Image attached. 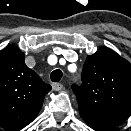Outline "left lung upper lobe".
I'll use <instances>...</instances> for the list:
<instances>
[{
    "label": "left lung upper lobe",
    "instance_id": "1",
    "mask_svg": "<svg viewBox=\"0 0 131 131\" xmlns=\"http://www.w3.org/2000/svg\"><path fill=\"white\" fill-rule=\"evenodd\" d=\"M81 86L72 85L80 116L96 131H111L131 114V64L106 46L87 56Z\"/></svg>",
    "mask_w": 131,
    "mask_h": 131
}]
</instances>
